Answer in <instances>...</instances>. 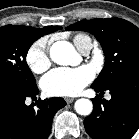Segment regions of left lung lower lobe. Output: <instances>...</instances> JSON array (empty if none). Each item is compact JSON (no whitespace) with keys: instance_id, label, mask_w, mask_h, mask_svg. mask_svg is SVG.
Instances as JSON below:
<instances>
[{"instance_id":"1","label":"left lung lower lobe","mask_w":139,"mask_h":139,"mask_svg":"<svg viewBox=\"0 0 139 139\" xmlns=\"http://www.w3.org/2000/svg\"><path fill=\"white\" fill-rule=\"evenodd\" d=\"M91 87L103 94L105 90ZM112 96L107 101L98 96L92 102V113L84 126L93 139H130L139 128V69L119 78L108 89Z\"/></svg>"}]
</instances>
